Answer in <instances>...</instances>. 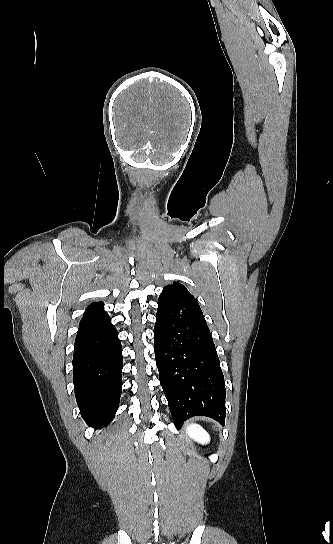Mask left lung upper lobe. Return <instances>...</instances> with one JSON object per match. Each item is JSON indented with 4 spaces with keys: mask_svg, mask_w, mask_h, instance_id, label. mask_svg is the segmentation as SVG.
<instances>
[{
    "mask_svg": "<svg viewBox=\"0 0 333 544\" xmlns=\"http://www.w3.org/2000/svg\"><path fill=\"white\" fill-rule=\"evenodd\" d=\"M167 296H181V297H187V298H194L193 295H191L188 292L186 287L178 282H174L172 285L165 286L163 288L162 293L159 296L158 301Z\"/></svg>",
    "mask_w": 333,
    "mask_h": 544,
    "instance_id": "left-lung-upper-lobe-1",
    "label": "left lung upper lobe"
}]
</instances>
